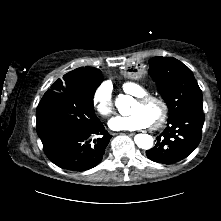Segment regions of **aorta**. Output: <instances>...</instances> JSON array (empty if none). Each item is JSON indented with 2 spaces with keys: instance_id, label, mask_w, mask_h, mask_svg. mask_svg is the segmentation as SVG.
<instances>
[{
  "instance_id": "1",
  "label": "aorta",
  "mask_w": 221,
  "mask_h": 221,
  "mask_svg": "<svg viewBox=\"0 0 221 221\" xmlns=\"http://www.w3.org/2000/svg\"><path fill=\"white\" fill-rule=\"evenodd\" d=\"M131 97L128 95H119L116 99V106L120 113H123L125 110L126 104L131 101ZM136 145L141 149H151L153 147L154 139L151 135L148 134H137L134 137Z\"/></svg>"
}]
</instances>
